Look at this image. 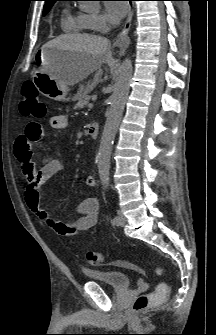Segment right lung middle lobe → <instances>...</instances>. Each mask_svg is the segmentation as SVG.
Returning <instances> with one entry per match:
<instances>
[{"label": "right lung middle lobe", "instance_id": "obj_1", "mask_svg": "<svg viewBox=\"0 0 216 335\" xmlns=\"http://www.w3.org/2000/svg\"><path fill=\"white\" fill-rule=\"evenodd\" d=\"M51 6H52V4L44 6V15H46L48 13V11L50 10Z\"/></svg>", "mask_w": 216, "mask_h": 335}]
</instances>
